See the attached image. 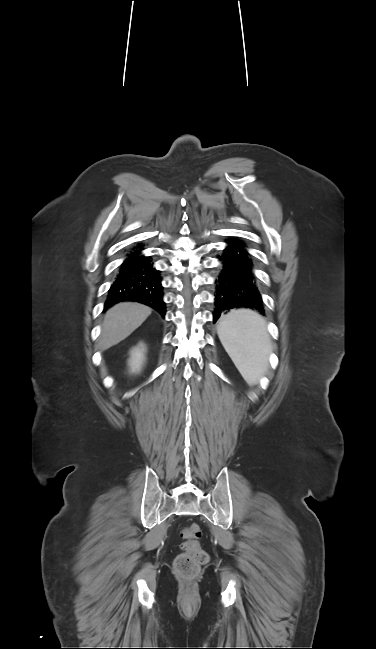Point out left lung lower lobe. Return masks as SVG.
<instances>
[{"instance_id":"obj_1","label":"left lung lower lobe","mask_w":376,"mask_h":649,"mask_svg":"<svg viewBox=\"0 0 376 649\" xmlns=\"http://www.w3.org/2000/svg\"><path fill=\"white\" fill-rule=\"evenodd\" d=\"M219 259L222 267L215 282L214 323L222 312L235 307H248L264 314L262 298L252 273L253 264L244 246L238 241L229 242Z\"/></svg>"}]
</instances>
